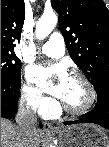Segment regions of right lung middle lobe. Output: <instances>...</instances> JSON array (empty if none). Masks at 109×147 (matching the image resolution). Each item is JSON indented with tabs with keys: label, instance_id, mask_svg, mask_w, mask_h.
Wrapping results in <instances>:
<instances>
[{
	"label": "right lung middle lobe",
	"instance_id": "obj_1",
	"mask_svg": "<svg viewBox=\"0 0 109 147\" xmlns=\"http://www.w3.org/2000/svg\"><path fill=\"white\" fill-rule=\"evenodd\" d=\"M21 63L14 51L1 48V80L20 81Z\"/></svg>",
	"mask_w": 109,
	"mask_h": 147
}]
</instances>
